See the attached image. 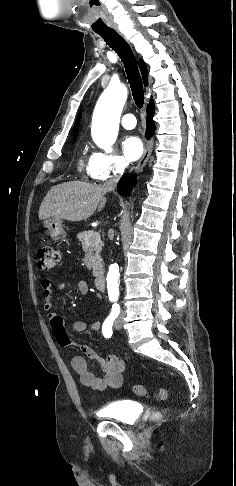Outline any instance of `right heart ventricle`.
Returning <instances> with one entry per match:
<instances>
[{
    "label": "right heart ventricle",
    "instance_id": "right-heart-ventricle-1",
    "mask_svg": "<svg viewBox=\"0 0 236 486\" xmlns=\"http://www.w3.org/2000/svg\"><path fill=\"white\" fill-rule=\"evenodd\" d=\"M83 165H84V163H83V156L81 155V156L79 157V166H80V168H82V167H83ZM87 171H88V165H87Z\"/></svg>",
    "mask_w": 236,
    "mask_h": 486
}]
</instances>
